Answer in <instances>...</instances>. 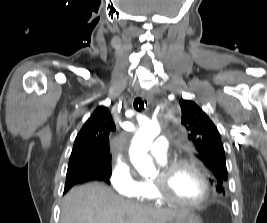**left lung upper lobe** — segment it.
<instances>
[{"instance_id":"1","label":"left lung upper lobe","mask_w":267,"mask_h":223,"mask_svg":"<svg viewBox=\"0 0 267 223\" xmlns=\"http://www.w3.org/2000/svg\"><path fill=\"white\" fill-rule=\"evenodd\" d=\"M181 123L188 131V139L197 151L198 158L211 172V182L219 193H225L228 180L226 160L220 134L211 119L194 102L181 100Z\"/></svg>"}]
</instances>
